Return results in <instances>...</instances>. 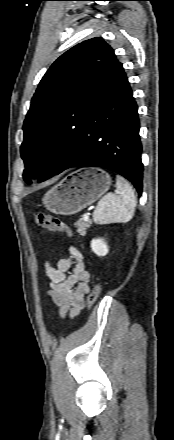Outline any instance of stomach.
<instances>
[{
	"label": "stomach",
	"instance_id": "obj_1",
	"mask_svg": "<svg viewBox=\"0 0 174 440\" xmlns=\"http://www.w3.org/2000/svg\"><path fill=\"white\" fill-rule=\"evenodd\" d=\"M110 175L99 168L78 169L43 197L44 206L57 215H73L97 201L110 187Z\"/></svg>",
	"mask_w": 174,
	"mask_h": 440
}]
</instances>
